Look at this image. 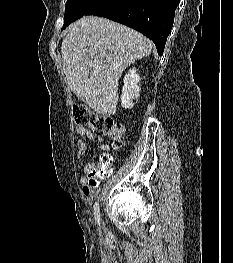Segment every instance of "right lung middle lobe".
Listing matches in <instances>:
<instances>
[{
  "label": "right lung middle lobe",
  "mask_w": 233,
  "mask_h": 263,
  "mask_svg": "<svg viewBox=\"0 0 233 263\" xmlns=\"http://www.w3.org/2000/svg\"><path fill=\"white\" fill-rule=\"evenodd\" d=\"M121 2L122 0H68L65 6L62 30L83 16L110 14Z\"/></svg>",
  "instance_id": "right-lung-middle-lobe-1"
}]
</instances>
